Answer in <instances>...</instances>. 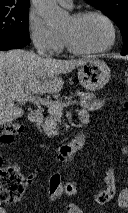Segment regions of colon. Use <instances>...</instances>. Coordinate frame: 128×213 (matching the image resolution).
<instances>
[{
    "label": "colon",
    "mask_w": 128,
    "mask_h": 213,
    "mask_svg": "<svg viewBox=\"0 0 128 213\" xmlns=\"http://www.w3.org/2000/svg\"><path fill=\"white\" fill-rule=\"evenodd\" d=\"M125 83L128 84V70L124 73ZM128 110V100L124 103ZM24 131V126L20 123L10 122L5 124L0 130V143L10 144L15 137ZM104 186L95 196L96 202L105 205L113 200L116 195V178L114 169L110 168L105 172ZM27 184V178L14 166L9 165L4 157L0 155V203L11 204L17 202L22 197ZM68 197H73L77 193L75 183H67L64 188ZM122 207H128V187L124 188L118 198Z\"/></svg>",
    "instance_id": "colon-1"
}]
</instances>
